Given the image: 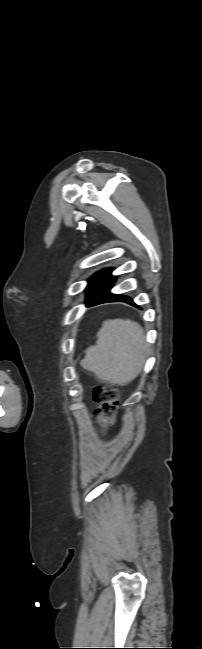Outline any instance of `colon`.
<instances>
[{"label": "colon", "instance_id": "obj_1", "mask_svg": "<svg viewBox=\"0 0 202 649\" xmlns=\"http://www.w3.org/2000/svg\"><path fill=\"white\" fill-rule=\"evenodd\" d=\"M94 400L98 404L94 415L100 430L103 432L114 423L118 390L110 385L98 387L94 391Z\"/></svg>", "mask_w": 202, "mask_h": 649}]
</instances>
